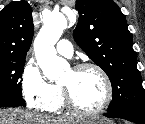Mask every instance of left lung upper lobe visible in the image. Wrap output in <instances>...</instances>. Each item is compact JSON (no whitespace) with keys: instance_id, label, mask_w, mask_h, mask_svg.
Instances as JSON below:
<instances>
[{"instance_id":"obj_1","label":"left lung upper lobe","mask_w":145,"mask_h":124,"mask_svg":"<svg viewBox=\"0 0 145 124\" xmlns=\"http://www.w3.org/2000/svg\"><path fill=\"white\" fill-rule=\"evenodd\" d=\"M75 7L79 20L74 40L112 84L108 112L135 110L145 114L142 79L124 14L112 0H76Z\"/></svg>"}]
</instances>
